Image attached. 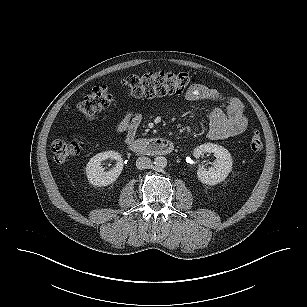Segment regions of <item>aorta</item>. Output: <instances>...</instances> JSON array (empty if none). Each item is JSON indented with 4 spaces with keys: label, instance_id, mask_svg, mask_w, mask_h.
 Returning a JSON list of instances; mask_svg holds the SVG:
<instances>
[{
    "label": "aorta",
    "instance_id": "obj_1",
    "mask_svg": "<svg viewBox=\"0 0 307 307\" xmlns=\"http://www.w3.org/2000/svg\"><path fill=\"white\" fill-rule=\"evenodd\" d=\"M154 164L157 168H164L167 166V159L163 156H158L154 159Z\"/></svg>",
    "mask_w": 307,
    "mask_h": 307
}]
</instances>
